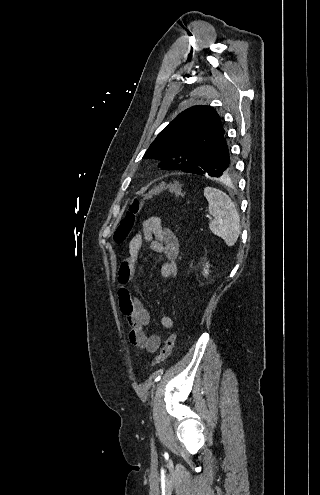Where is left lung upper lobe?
Here are the masks:
<instances>
[{
  "mask_svg": "<svg viewBox=\"0 0 320 495\" xmlns=\"http://www.w3.org/2000/svg\"><path fill=\"white\" fill-rule=\"evenodd\" d=\"M225 133L221 119L210 106H193L181 112L152 142L143 158L161 160L165 170H185L195 164Z\"/></svg>",
  "mask_w": 320,
  "mask_h": 495,
  "instance_id": "obj_1",
  "label": "left lung upper lobe"
}]
</instances>
